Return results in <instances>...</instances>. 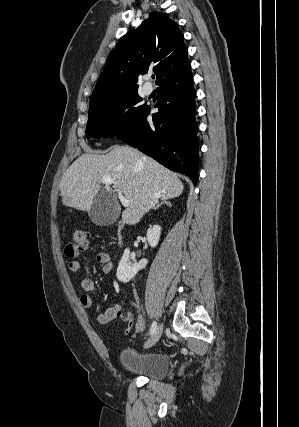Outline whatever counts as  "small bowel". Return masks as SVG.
Masks as SVG:
<instances>
[{
	"mask_svg": "<svg viewBox=\"0 0 299 427\" xmlns=\"http://www.w3.org/2000/svg\"><path fill=\"white\" fill-rule=\"evenodd\" d=\"M97 262L100 264L102 271L104 273H110L113 269V264L111 261V258L109 254L107 253H99L96 256ZM69 269L74 274H81L82 273V266L81 264L76 261L72 260L69 262ZM81 288L83 290V294L80 296V304L85 309H91L94 306V300L91 296L90 292L94 290V282L93 280L89 278H85L81 282ZM124 302L121 301L118 304L109 307L104 312L100 313L97 316V321L100 324H107L117 318V316L120 314L122 310ZM144 329V321L140 313H137L136 319H135V330L137 333L142 332Z\"/></svg>",
	"mask_w": 299,
	"mask_h": 427,
	"instance_id": "small-bowel-1",
	"label": "small bowel"
}]
</instances>
